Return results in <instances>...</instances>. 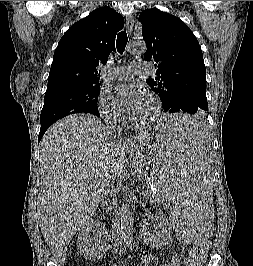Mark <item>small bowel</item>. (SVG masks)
Instances as JSON below:
<instances>
[{
  "label": "small bowel",
  "instance_id": "small-bowel-1",
  "mask_svg": "<svg viewBox=\"0 0 253 266\" xmlns=\"http://www.w3.org/2000/svg\"><path fill=\"white\" fill-rule=\"evenodd\" d=\"M146 260L147 261H154V262H156L158 264V266H181L179 261L175 257L167 259L163 263L158 262L152 255L147 256ZM111 266H118V265L114 264V265H111Z\"/></svg>",
  "mask_w": 253,
  "mask_h": 266
}]
</instances>
